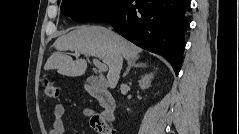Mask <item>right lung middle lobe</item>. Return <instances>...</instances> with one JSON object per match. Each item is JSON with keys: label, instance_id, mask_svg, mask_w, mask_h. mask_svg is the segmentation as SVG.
<instances>
[{"label": "right lung middle lobe", "instance_id": "right-lung-middle-lobe-1", "mask_svg": "<svg viewBox=\"0 0 239 134\" xmlns=\"http://www.w3.org/2000/svg\"><path fill=\"white\" fill-rule=\"evenodd\" d=\"M120 0H63L61 11L77 22H91L112 9Z\"/></svg>", "mask_w": 239, "mask_h": 134}]
</instances>
